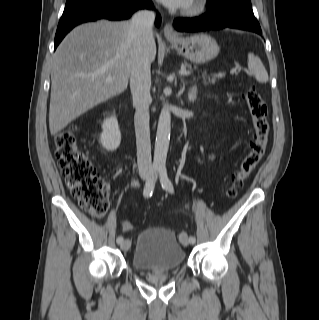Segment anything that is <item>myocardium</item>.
Returning <instances> with one entry per match:
<instances>
[{
    "label": "myocardium",
    "mask_w": 319,
    "mask_h": 320,
    "mask_svg": "<svg viewBox=\"0 0 319 320\" xmlns=\"http://www.w3.org/2000/svg\"><path fill=\"white\" fill-rule=\"evenodd\" d=\"M208 0H192L182 11L185 15H197L205 10Z\"/></svg>",
    "instance_id": "myocardium-1"
}]
</instances>
